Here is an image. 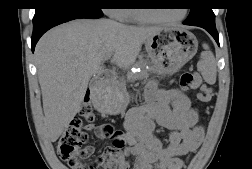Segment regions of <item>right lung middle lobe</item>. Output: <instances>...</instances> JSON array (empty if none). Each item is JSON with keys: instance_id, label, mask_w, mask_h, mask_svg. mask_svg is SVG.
<instances>
[{"instance_id": "right-lung-middle-lobe-1", "label": "right lung middle lobe", "mask_w": 252, "mask_h": 169, "mask_svg": "<svg viewBox=\"0 0 252 169\" xmlns=\"http://www.w3.org/2000/svg\"><path fill=\"white\" fill-rule=\"evenodd\" d=\"M101 1L102 0H73L72 3H67L66 5L81 6L83 8L102 13ZM52 6H53L52 0H41L37 4L35 13L43 12V11L51 8Z\"/></svg>"}]
</instances>
